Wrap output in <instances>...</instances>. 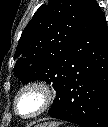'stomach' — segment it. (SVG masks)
<instances>
[{
    "label": "stomach",
    "instance_id": "stomach-1",
    "mask_svg": "<svg viewBox=\"0 0 108 127\" xmlns=\"http://www.w3.org/2000/svg\"><path fill=\"white\" fill-rule=\"evenodd\" d=\"M59 125L57 123L53 124V125H47V126H44L43 124H38L36 125L35 127H58Z\"/></svg>",
    "mask_w": 108,
    "mask_h": 127
}]
</instances>
